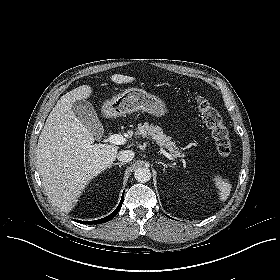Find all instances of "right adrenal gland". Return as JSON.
I'll use <instances>...</instances> for the list:
<instances>
[{
    "mask_svg": "<svg viewBox=\"0 0 280 280\" xmlns=\"http://www.w3.org/2000/svg\"><path fill=\"white\" fill-rule=\"evenodd\" d=\"M113 165L114 166L118 165L119 167H121L122 165H124V163L117 162V163H114Z\"/></svg>",
    "mask_w": 280,
    "mask_h": 280,
    "instance_id": "right-adrenal-gland-1",
    "label": "right adrenal gland"
}]
</instances>
